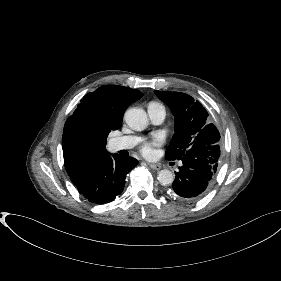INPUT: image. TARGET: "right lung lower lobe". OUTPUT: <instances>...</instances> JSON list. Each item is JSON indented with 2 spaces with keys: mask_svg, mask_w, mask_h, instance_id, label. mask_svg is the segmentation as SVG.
<instances>
[{
  "mask_svg": "<svg viewBox=\"0 0 281 281\" xmlns=\"http://www.w3.org/2000/svg\"><path fill=\"white\" fill-rule=\"evenodd\" d=\"M137 164V159L118 154L111 157L106 151L90 160L70 179L79 193L90 202L104 204L121 194L126 175Z\"/></svg>",
  "mask_w": 281,
  "mask_h": 281,
  "instance_id": "1",
  "label": "right lung lower lobe"
}]
</instances>
